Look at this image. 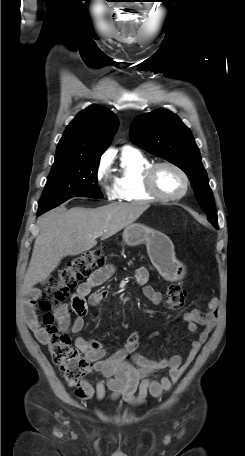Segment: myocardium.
Returning a JSON list of instances; mask_svg holds the SVG:
<instances>
[{
    "mask_svg": "<svg viewBox=\"0 0 245 456\" xmlns=\"http://www.w3.org/2000/svg\"><path fill=\"white\" fill-rule=\"evenodd\" d=\"M162 166H167L170 167L174 170H176L180 176L183 179L184 186L183 190L177 194V195H165L162 194L156 187L155 183V174L157 170L162 167ZM143 184L146 192L152 196L154 199L164 201V202H172V201H177L182 199L188 192L189 189V178L186 172L177 164L170 162V161H160L156 163H151L150 166H148L143 173Z\"/></svg>",
    "mask_w": 245,
    "mask_h": 456,
    "instance_id": "myocardium-1",
    "label": "myocardium"
}]
</instances>
